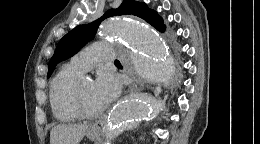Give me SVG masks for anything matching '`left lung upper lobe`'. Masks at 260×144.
Returning <instances> with one entry per match:
<instances>
[{
    "mask_svg": "<svg viewBox=\"0 0 260 144\" xmlns=\"http://www.w3.org/2000/svg\"><path fill=\"white\" fill-rule=\"evenodd\" d=\"M138 16L157 30L164 32L165 25L156 11L149 9L145 3L134 0H124L117 9H110L96 21L87 25H78L67 33L58 43L55 52L50 59L47 77H50L57 63L72 57L78 50L94 37L100 23L111 16L116 15Z\"/></svg>",
    "mask_w": 260,
    "mask_h": 144,
    "instance_id": "left-lung-upper-lobe-1",
    "label": "left lung upper lobe"
}]
</instances>
